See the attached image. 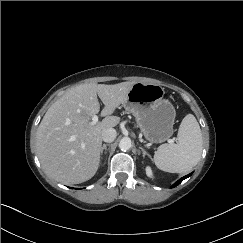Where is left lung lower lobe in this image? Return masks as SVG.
Instances as JSON below:
<instances>
[{"mask_svg": "<svg viewBox=\"0 0 243 243\" xmlns=\"http://www.w3.org/2000/svg\"><path fill=\"white\" fill-rule=\"evenodd\" d=\"M191 174H192V173H190V174H188V175L182 177L180 180H178L176 183H174V184L172 185V188H173V187H176L177 185H179L184 179H186V178H188L189 176H191Z\"/></svg>", "mask_w": 243, "mask_h": 243, "instance_id": "left-lung-lower-lobe-1", "label": "left lung lower lobe"}]
</instances>
